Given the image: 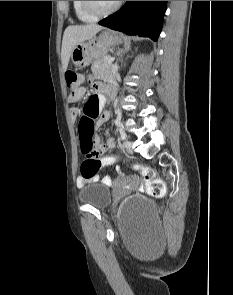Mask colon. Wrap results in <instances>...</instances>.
Segmentation results:
<instances>
[{
	"label": "colon",
	"instance_id": "5ec220e1",
	"mask_svg": "<svg viewBox=\"0 0 233 295\" xmlns=\"http://www.w3.org/2000/svg\"><path fill=\"white\" fill-rule=\"evenodd\" d=\"M67 88L70 98H76L85 93L83 77L75 71H67L65 74ZM95 123L89 116H83L79 123V135L81 150L85 157L81 165V176L90 179L97 174L103 167L113 165L119 161L115 154L102 155L97 147V141L94 135ZM134 168L140 171L148 193L153 197H163L166 193L164 181L155 176L153 169L141 164H134Z\"/></svg>",
	"mask_w": 233,
	"mask_h": 295
}]
</instances>
